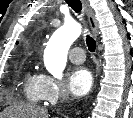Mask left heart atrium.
<instances>
[{
    "label": "left heart atrium",
    "instance_id": "39dd6f15",
    "mask_svg": "<svg viewBox=\"0 0 133 118\" xmlns=\"http://www.w3.org/2000/svg\"><path fill=\"white\" fill-rule=\"evenodd\" d=\"M93 84V78L90 71L84 67H77L69 77V89L75 96L86 95Z\"/></svg>",
    "mask_w": 133,
    "mask_h": 118
}]
</instances>
